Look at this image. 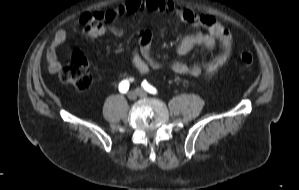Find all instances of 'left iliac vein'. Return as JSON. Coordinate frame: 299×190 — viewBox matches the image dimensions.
I'll list each match as a JSON object with an SVG mask.
<instances>
[{"instance_id":"left-iliac-vein-1","label":"left iliac vein","mask_w":299,"mask_h":190,"mask_svg":"<svg viewBox=\"0 0 299 190\" xmlns=\"http://www.w3.org/2000/svg\"><path fill=\"white\" fill-rule=\"evenodd\" d=\"M137 92H138V95L140 97H146L147 96V93L142 89H137Z\"/></svg>"}]
</instances>
